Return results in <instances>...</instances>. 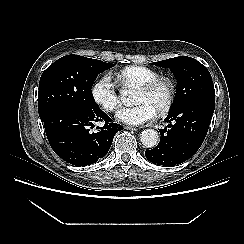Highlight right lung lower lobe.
Segmentation results:
<instances>
[{"instance_id": "obj_1", "label": "right lung lower lobe", "mask_w": 244, "mask_h": 244, "mask_svg": "<svg viewBox=\"0 0 244 244\" xmlns=\"http://www.w3.org/2000/svg\"><path fill=\"white\" fill-rule=\"evenodd\" d=\"M40 119L54 152L76 166H87L104 157L115 134L123 129L112 123L99 107L60 106L49 110ZM98 122H103L104 126L96 127L98 130L92 132Z\"/></svg>"}]
</instances>
